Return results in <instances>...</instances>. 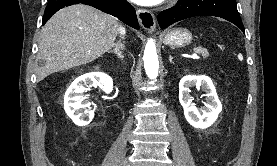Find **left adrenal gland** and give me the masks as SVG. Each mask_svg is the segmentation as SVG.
<instances>
[{
    "instance_id": "left-adrenal-gland-1",
    "label": "left adrenal gland",
    "mask_w": 277,
    "mask_h": 166,
    "mask_svg": "<svg viewBox=\"0 0 277 166\" xmlns=\"http://www.w3.org/2000/svg\"><path fill=\"white\" fill-rule=\"evenodd\" d=\"M173 57L171 56V55H169V61H170V63H173Z\"/></svg>"
}]
</instances>
